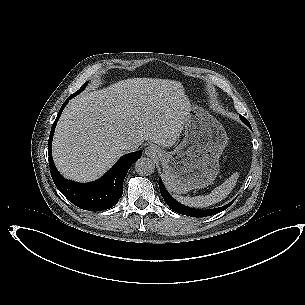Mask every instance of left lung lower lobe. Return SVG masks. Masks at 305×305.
I'll use <instances>...</instances> for the list:
<instances>
[{"mask_svg": "<svg viewBox=\"0 0 305 305\" xmlns=\"http://www.w3.org/2000/svg\"><path fill=\"white\" fill-rule=\"evenodd\" d=\"M159 187H160V192H161V195L163 196L165 202L168 204V206L173 209L174 211H176L177 209V201L174 200L170 194L166 191L161 179H159ZM233 203L230 202L229 204L223 206V207H220V208H216V209H211V210H206L207 211V216H211V215H214V214H217L225 209H227L231 204Z\"/></svg>", "mask_w": 305, "mask_h": 305, "instance_id": "left-lung-lower-lobe-1", "label": "left lung lower lobe"}]
</instances>
